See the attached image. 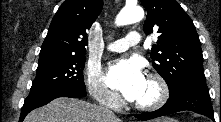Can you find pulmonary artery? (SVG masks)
I'll list each match as a JSON object with an SVG mask.
<instances>
[{"mask_svg": "<svg viewBox=\"0 0 221 122\" xmlns=\"http://www.w3.org/2000/svg\"><path fill=\"white\" fill-rule=\"evenodd\" d=\"M141 42V36L137 31L129 32L125 38L110 43L107 49L111 52H124L129 47L137 45Z\"/></svg>", "mask_w": 221, "mask_h": 122, "instance_id": "e3ab8cb5", "label": "pulmonary artery"}]
</instances>
